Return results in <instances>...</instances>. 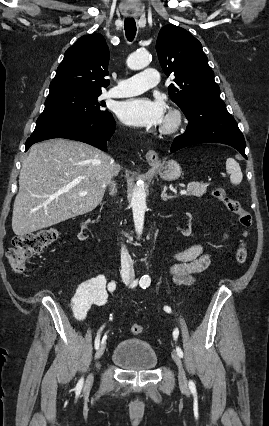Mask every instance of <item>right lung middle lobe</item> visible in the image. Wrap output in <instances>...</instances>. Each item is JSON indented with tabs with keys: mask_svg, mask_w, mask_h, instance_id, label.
<instances>
[{
	"mask_svg": "<svg viewBox=\"0 0 269 426\" xmlns=\"http://www.w3.org/2000/svg\"><path fill=\"white\" fill-rule=\"evenodd\" d=\"M101 92L60 90L50 92L43 113L31 136L84 120H94L108 113L105 102L98 101Z\"/></svg>",
	"mask_w": 269,
	"mask_h": 426,
	"instance_id": "right-lung-middle-lobe-1",
	"label": "right lung middle lobe"
}]
</instances>
